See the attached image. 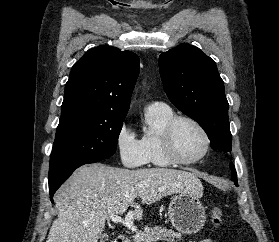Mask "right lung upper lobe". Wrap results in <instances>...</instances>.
<instances>
[{"label": "right lung upper lobe", "mask_w": 279, "mask_h": 242, "mask_svg": "<svg viewBox=\"0 0 279 242\" xmlns=\"http://www.w3.org/2000/svg\"><path fill=\"white\" fill-rule=\"evenodd\" d=\"M138 74L139 57L132 51L105 45L89 50L71 69L62 114L125 118Z\"/></svg>", "instance_id": "right-lung-upper-lobe-1"}]
</instances>
